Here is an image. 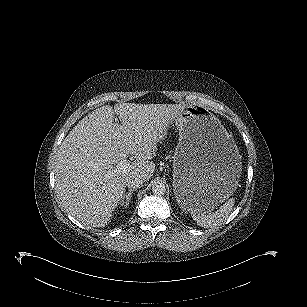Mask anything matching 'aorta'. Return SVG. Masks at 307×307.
I'll use <instances>...</instances> for the list:
<instances>
[{
    "label": "aorta",
    "instance_id": "aorta-1",
    "mask_svg": "<svg viewBox=\"0 0 307 307\" xmlns=\"http://www.w3.org/2000/svg\"><path fill=\"white\" fill-rule=\"evenodd\" d=\"M152 192L154 195L161 196L166 193V186L162 182H155L152 186Z\"/></svg>",
    "mask_w": 307,
    "mask_h": 307
}]
</instances>
